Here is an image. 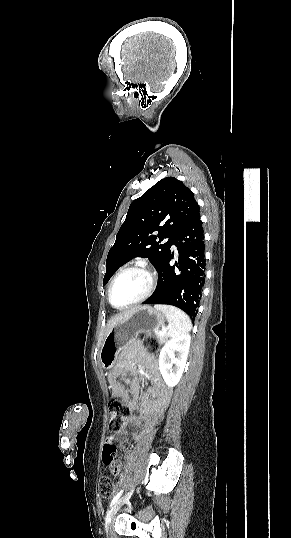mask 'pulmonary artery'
Returning <instances> with one entry per match:
<instances>
[{"instance_id": "e3ab8cb5", "label": "pulmonary artery", "mask_w": 291, "mask_h": 538, "mask_svg": "<svg viewBox=\"0 0 291 538\" xmlns=\"http://www.w3.org/2000/svg\"><path fill=\"white\" fill-rule=\"evenodd\" d=\"M173 249H176L175 245L172 246Z\"/></svg>"}]
</instances>
